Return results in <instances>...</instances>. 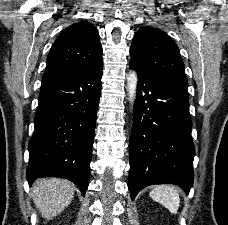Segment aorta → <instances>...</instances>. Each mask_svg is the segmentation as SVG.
I'll list each match as a JSON object with an SVG mask.
<instances>
[{
    "label": "aorta",
    "instance_id": "obj_1",
    "mask_svg": "<svg viewBox=\"0 0 228 225\" xmlns=\"http://www.w3.org/2000/svg\"><path fill=\"white\" fill-rule=\"evenodd\" d=\"M137 80H138L137 72H135V70H130L127 76V84H128V96L131 102L135 100Z\"/></svg>",
    "mask_w": 228,
    "mask_h": 225
}]
</instances>
